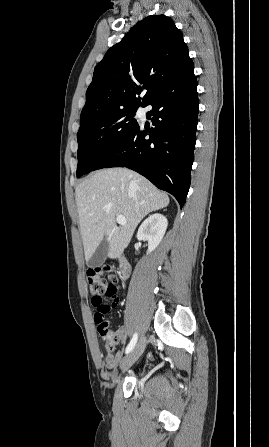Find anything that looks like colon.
Returning <instances> with one entry per match:
<instances>
[{
  "instance_id": "5ec220e1",
  "label": "colon",
  "mask_w": 269,
  "mask_h": 447,
  "mask_svg": "<svg viewBox=\"0 0 269 447\" xmlns=\"http://www.w3.org/2000/svg\"><path fill=\"white\" fill-rule=\"evenodd\" d=\"M86 279L89 287V293L93 296L91 301L97 307V312L94 314L95 321L99 323L98 331L103 340L110 343L109 349L118 341L117 336L109 326L108 320H105V315L109 313L111 307L107 304H102L98 296H109L117 292L118 278L109 273L103 274L99 267L94 266L86 274Z\"/></svg>"
}]
</instances>
